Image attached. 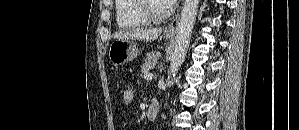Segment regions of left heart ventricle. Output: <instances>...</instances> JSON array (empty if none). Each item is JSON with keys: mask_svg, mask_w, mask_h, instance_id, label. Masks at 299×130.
Wrapping results in <instances>:
<instances>
[{"mask_svg": "<svg viewBox=\"0 0 299 130\" xmlns=\"http://www.w3.org/2000/svg\"><path fill=\"white\" fill-rule=\"evenodd\" d=\"M163 4H164V2H158V3L155 4V8L157 10H162L163 6H164Z\"/></svg>", "mask_w": 299, "mask_h": 130, "instance_id": "1", "label": "left heart ventricle"}]
</instances>
